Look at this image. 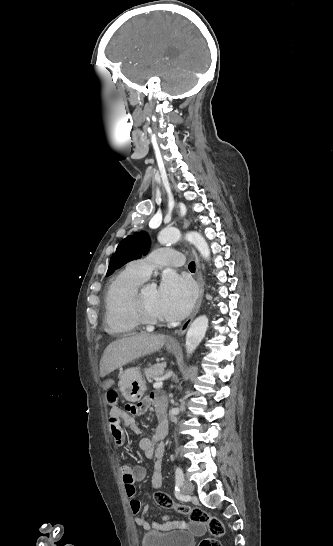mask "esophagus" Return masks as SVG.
Masks as SVG:
<instances>
[{"instance_id":"34e87169","label":"esophagus","mask_w":333,"mask_h":546,"mask_svg":"<svg viewBox=\"0 0 333 546\" xmlns=\"http://www.w3.org/2000/svg\"><path fill=\"white\" fill-rule=\"evenodd\" d=\"M192 253H193V256L195 258V263H196L195 277H196V281H197L198 288H199V295H198L196 305H195L191 315L187 318V320L183 323V325L178 330L179 335H183L187 331V329L190 326L192 320L194 319V317L198 313V311L200 309V306H201V303H202V300H203V294H204V281H203V276H202V271H201L200 259H199V256H198V254H197V252H196V250L194 248H192ZM169 342L171 344H178V340L176 338H171L169 340Z\"/></svg>"}]
</instances>
